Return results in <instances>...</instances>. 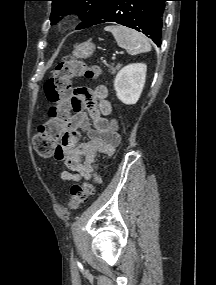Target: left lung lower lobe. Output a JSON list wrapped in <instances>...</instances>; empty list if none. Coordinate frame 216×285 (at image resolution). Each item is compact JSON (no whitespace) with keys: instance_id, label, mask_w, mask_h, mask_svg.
I'll list each match as a JSON object with an SVG mask.
<instances>
[{"instance_id":"0a47b994","label":"left lung lower lobe","mask_w":216,"mask_h":285,"mask_svg":"<svg viewBox=\"0 0 216 285\" xmlns=\"http://www.w3.org/2000/svg\"><path fill=\"white\" fill-rule=\"evenodd\" d=\"M165 1L168 0H112L93 25L115 22L149 35L159 47Z\"/></svg>"}]
</instances>
